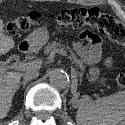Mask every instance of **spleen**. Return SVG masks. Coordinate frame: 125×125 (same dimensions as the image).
Wrapping results in <instances>:
<instances>
[{"instance_id":"spleen-1","label":"spleen","mask_w":125,"mask_h":125,"mask_svg":"<svg viewBox=\"0 0 125 125\" xmlns=\"http://www.w3.org/2000/svg\"><path fill=\"white\" fill-rule=\"evenodd\" d=\"M125 117V91L99 98L82 99L76 114L77 125H117Z\"/></svg>"}]
</instances>
